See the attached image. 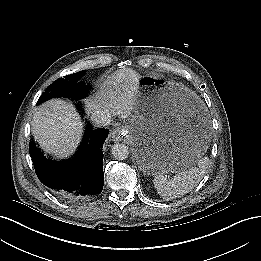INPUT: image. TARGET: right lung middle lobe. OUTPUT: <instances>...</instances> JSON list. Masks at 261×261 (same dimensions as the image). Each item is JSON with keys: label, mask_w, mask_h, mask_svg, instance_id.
Listing matches in <instances>:
<instances>
[{"label": "right lung middle lobe", "mask_w": 261, "mask_h": 261, "mask_svg": "<svg viewBox=\"0 0 261 261\" xmlns=\"http://www.w3.org/2000/svg\"><path fill=\"white\" fill-rule=\"evenodd\" d=\"M84 74L85 71L83 70L64 76V78H59L48 87L46 92L42 94L38 100V103L53 97H64L78 100L85 96L90 90V86H87L84 82L79 81Z\"/></svg>", "instance_id": "obj_1"}]
</instances>
